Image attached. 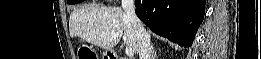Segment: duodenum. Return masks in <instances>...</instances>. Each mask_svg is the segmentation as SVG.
Listing matches in <instances>:
<instances>
[{
	"mask_svg": "<svg viewBox=\"0 0 261 59\" xmlns=\"http://www.w3.org/2000/svg\"><path fill=\"white\" fill-rule=\"evenodd\" d=\"M110 55H111V59H125V58H123V57H120V56H118V55H116V54H114V53H110Z\"/></svg>",
	"mask_w": 261,
	"mask_h": 59,
	"instance_id": "duodenum-1",
	"label": "duodenum"
}]
</instances>
